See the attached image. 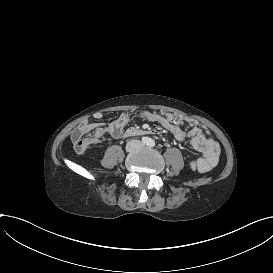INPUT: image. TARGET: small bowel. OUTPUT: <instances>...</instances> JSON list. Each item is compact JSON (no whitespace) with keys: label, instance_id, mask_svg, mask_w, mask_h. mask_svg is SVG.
Listing matches in <instances>:
<instances>
[{"label":"small bowel","instance_id":"small-bowel-1","mask_svg":"<svg viewBox=\"0 0 273 273\" xmlns=\"http://www.w3.org/2000/svg\"><path fill=\"white\" fill-rule=\"evenodd\" d=\"M141 119L155 122L170 131L176 140L184 141L189 139L192 147L203 155L198 171L205 173L214 168L218 162L220 154L219 144L210 136H207L198 122L188 116L171 112H142ZM103 114L96 112L93 119L85 120L84 124L88 128V135L91 140L89 146L97 143L104 134H109L114 138H119L123 130L130 124L132 116L129 113L120 114L114 121L103 123Z\"/></svg>","mask_w":273,"mask_h":273}]
</instances>
